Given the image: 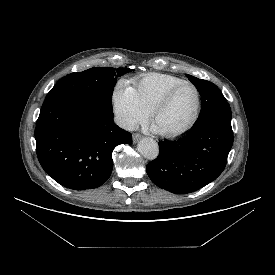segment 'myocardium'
Wrapping results in <instances>:
<instances>
[{
	"instance_id": "obj_1",
	"label": "myocardium",
	"mask_w": 275,
	"mask_h": 275,
	"mask_svg": "<svg viewBox=\"0 0 275 275\" xmlns=\"http://www.w3.org/2000/svg\"><path fill=\"white\" fill-rule=\"evenodd\" d=\"M182 86H190L195 91V94H196L195 111H194V114H193L192 118L190 119V121L182 128L175 130V131H171V132H162L161 131L162 135L165 137H168V138H175V137L181 136V135L187 133L188 131H190L197 123V121L200 117V114H201L202 99H201V94H200L199 89L192 82L183 80L182 82L169 88L163 94V96L158 100V102L154 105V107L152 108V110L150 112L152 121L154 122L158 113L168 105L173 94Z\"/></svg>"
}]
</instances>
